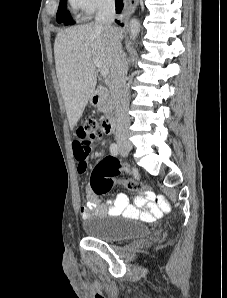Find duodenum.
<instances>
[{
	"mask_svg": "<svg viewBox=\"0 0 227 298\" xmlns=\"http://www.w3.org/2000/svg\"><path fill=\"white\" fill-rule=\"evenodd\" d=\"M100 102V93L99 91H94L91 95V103L93 105H98ZM103 131L106 134H111L116 129V117L114 115L108 116L102 123Z\"/></svg>",
	"mask_w": 227,
	"mask_h": 298,
	"instance_id": "obj_1",
	"label": "duodenum"
}]
</instances>
